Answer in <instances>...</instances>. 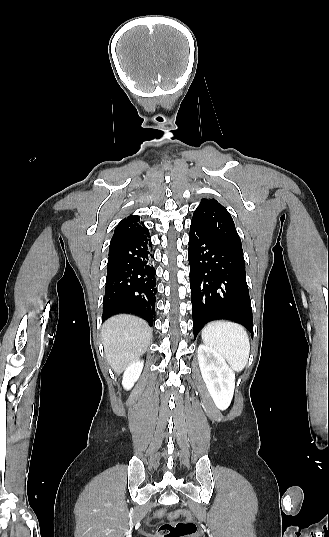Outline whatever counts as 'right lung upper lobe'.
I'll return each instance as SVG.
<instances>
[{"label": "right lung upper lobe", "instance_id": "1", "mask_svg": "<svg viewBox=\"0 0 329 537\" xmlns=\"http://www.w3.org/2000/svg\"><path fill=\"white\" fill-rule=\"evenodd\" d=\"M140 217L137 215L129 216L123 219L115 228L114 235L111 242H116L124 239H128L132 236L145 231L147 228L140 225Z\"/></svg>", "mask_w": 329, "mask_h": 537}]
</instances>
